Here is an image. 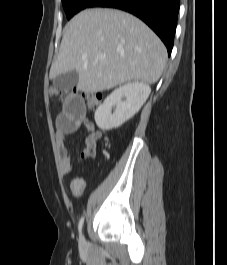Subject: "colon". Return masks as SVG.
Returning a JSON list of instances; mask_svg holds the SVG:
<instances>
[{"label":"colon","instance_id":"1","mask_svg":"<svg viewBox=\"0 0 227 265\" xmlns=\"http://www.w3.org/2000/svg\"><path fill=\"white\" fill-rule=\"evenodd\" d=\"M63 91H66V90H59L55 87L50 88L51 95L63 94ZM80 96H84V99H85V102L88 108H94L100 102V99H101L99 95L89 94V93H80Z\"/></svg>","mask_w":227,"mask_h":265}]
</instances>
